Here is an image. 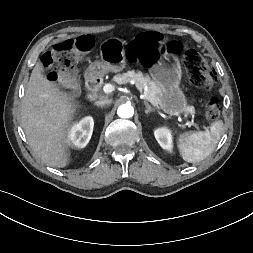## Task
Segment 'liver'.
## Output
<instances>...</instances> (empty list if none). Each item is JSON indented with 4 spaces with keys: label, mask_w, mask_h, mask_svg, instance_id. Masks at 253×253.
Instances as JSON below:
<instances>
[{
    "label": "liver",
    "mask_w": 253,
    "mask_h": 253,
    "mask_svg": "<svg viewBox=\"0 0 253 253\" xmlns=\"http://www.w3.org/2000/svg\"><path fill=\"white\" fill-rule=\"evenodd\" d=\"M78 105L42 73L36 64L22 101L21 125L35 155L46 165L69 164L67 135Z\"/></svg>",
    "instance_id": "1"
}]
</instances>
